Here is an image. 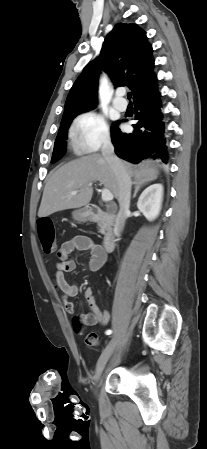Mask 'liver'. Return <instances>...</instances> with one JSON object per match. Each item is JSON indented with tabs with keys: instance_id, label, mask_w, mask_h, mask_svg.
I'll list each match as a JSON object with an SVG mask.
<instances>
[{
	"instance_id": "liver-1",
	"label": "liver",
	"mask_w": 207,
	"mask_h": 449,
	"mask_svg": "<svg viewBox=\"0 0 207 449\" xmlns=\"http://www.w3.org/2000/svg\"><path fill=\"white\" fill-rule=\"evenodd\" d=\"M122 163L130 178L139 184L156 179L159 173L150 161L142 163L138 169L128 162ZM94 181H99L118 198L115 174L103 156L91 154L61 166L45 185L38 216L43 218L58 211L86 206L93 195L92 185L88 184ZM72 191H77V194L72 195Z\"/></svg>"
}]
</instances>
